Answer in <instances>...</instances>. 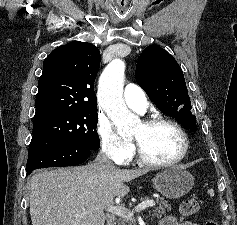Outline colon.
Masks as SVG:
<instances>
[{"label": "colon", "instance_id": "obj_1", "mask_svg": "<svg viewBox=\"0 0 237 225\" xmlns=\"http://www.w3.org/2000/svg\"><path fill=\"white\" fill-rule=\"evenodd\" d=\"M179 210H180L181 215L188 217L198 212L199 205L194 199L188 198L181 202L179 206ZM206 225H216V224L214 221L209 220L207 221Z\"/></svg>", "mask_w": 237, "mask_h": 225}]
</instances>
